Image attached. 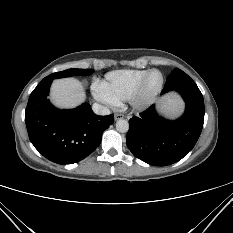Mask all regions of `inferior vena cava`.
Segmentation results:
<instances>
[{
	"label": "inferior vena cava",
	"mask_w": 233,
	"mask_h": 233,
	"mask_svg": "<svg viewBox=\"0 0 233 233\" xmlns=\"http://www.w3.org/2000/svg\"><path fill=\"white\" fill-rule=\"evenodd\" d=\"M92 110L94 111L95 114L102 115V116L109 115L111 113L109 108H107L106 106L100 105L98 103H94L92 105Z\"/></svg>",
	"instance_id": "602c4592"
}]
</instances>
